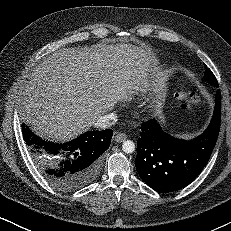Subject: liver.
Returning <instances> with one entry per match:
<instances>
[{
	"label": "liver",
	"mask_w": 231,
	"mask_h": 231,
	"mask_svg": "<svg viewBox=\"0 0 231 231\" xmlns=\"http://www.w3.org/2000/svg\"><path fill=\"white\" fill-rule=\"evenodd\" d=\"M159 69L145 46L56 51L34 68L23 89L24 119L41 137L69 141L134 93H160Z\"/></svg>",
	"instance_id": "6515ba94"
}]
</instances>
